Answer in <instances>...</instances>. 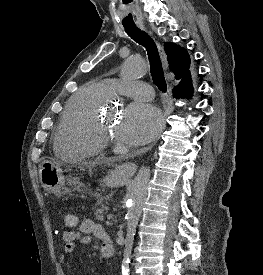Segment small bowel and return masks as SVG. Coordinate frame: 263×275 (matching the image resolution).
I'll return each mask as SVG.
<instances>
[{
    "mask_svg": "<svg viewBox=\"0 0 263 275\" xmlns=\"http://www.w3.org/2000/svg\"><path fill=\"white\" fill-rule=\"evenodd\" d=\"M105 229L90 218L84 219L75 230H65L61 234L64 246L60 255L61 262H66L68 257L76 250L77 246H86L91 243L92 237L102 240L101 252L104 250Z\"/></svg>",
    "mask_w": 263,
    "mask_h": 275,
    "instance_id": "1",
    "label": "small bowel"
}]
</instances>
